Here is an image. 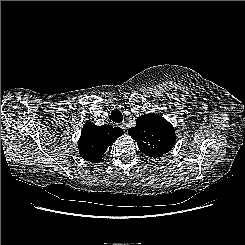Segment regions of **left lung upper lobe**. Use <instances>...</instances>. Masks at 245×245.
I'll list each match as a JSON object with an SVG mask.
<instances>
[{
  "mask_svg": "<svg viewBox=\"0 0 245 245\" xmlns=\"http://www.w3.org/2000/svg\"><path fill=\"white\" fill-rule=\"evenodd\" d=\"M136 126L128 134L137 141L142 153L150 157H161L175 144L174 128L158 114H145L137 118Z\"/></svg>",
  "mask_w": 245,
  "mask_h": 245,
  "instance_id": "5c2ea615",
  "label": "left lung upper lobe"
}]
</instances>
